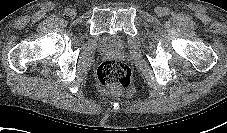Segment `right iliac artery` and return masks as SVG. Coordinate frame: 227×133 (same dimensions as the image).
<instances>
[{
  "label": "right iliac artery",
  "mask_w": 227,
  "mask_h": 133,
  "mask_svg": "<svg viewBox=\"0 0 227 133\" xmlns=\"http://www.w3.org/2000/svg\"><path fill=\"white\" fill-rule=\"evenodd\" d=\"M69 12H70V9H69V8L65 9V11H64V13H65L66 15H68Z\"/></svg>",
  "instance_id": "1"
}]
</instances>
